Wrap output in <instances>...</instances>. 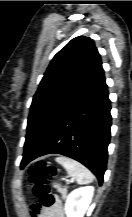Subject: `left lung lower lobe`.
Returning a JSON list of instances; mask_svg holds the SVG:
<instances>
[{
    "label": "left lung lower lobe",
    "mask_w": 132,
    "mask_h": 217,
    "mask_svg": "<svg viewBox=\"0 0 132 217\" xmlns=\"http://www.w3.org/2000/svg\"><path fill=\"white\" fill-rule=\"evenodd\" d=\"M110 101L101 67L95 78L58 117L42 140L23 154L21 168L37 157L58 153L89 168L103 183L110 141Z\"/></svg>",
    "instance_id": "1"
}]
</instances>
